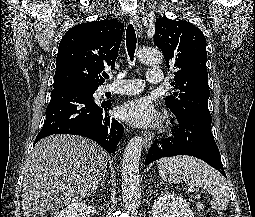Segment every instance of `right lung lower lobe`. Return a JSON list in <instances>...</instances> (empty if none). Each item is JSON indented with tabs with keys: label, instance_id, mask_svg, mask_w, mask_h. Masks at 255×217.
<instances>
[{
	"label": "right lung lower lobe",
	"instance_id": "right-lung-lower-lobe-1",
	"mask_svg": "<svg viewBox=\"0 0 255 217\" xmlns=\"http://www.w3.org/2000/svg\"><path fill=\"white\" fill-rule=\"evenodd\" d=\"M110 102L96 103L83 90L54 88L46 109V121L34 144L53 134L81 135L114 153L124 133L123 125L108 114Z\"/></svg>",
	"mask_w": 255,
	"mask_h": 217
}]
</instances>
